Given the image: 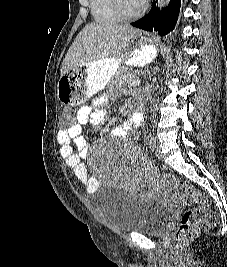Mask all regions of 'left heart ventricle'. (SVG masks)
Returning a JSON list of instances; mask_svg holds the SVG:
<instances>
[{
  "instance_id": "1",
  "label": "left heart ventricle",
  "mask_w": 227,
  "mask_h": 267,
  "mask_svg": "<svg viewBox=\"0 0 227 267\" xmlns=\"http://www.w3.org/2000/svg\"><path fill=\"white\" fill-rule=\"evenodd\" d=\"M123 3L125 8L130 12H134L141 7L136 0H123Z\"/></svg>"
}]
</instances>
